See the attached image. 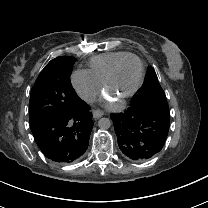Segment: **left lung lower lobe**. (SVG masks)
Here are the masks:
<instances>
[{
  "label": "left lung lower lobe",
  "instance_id": "obj_1",
  "mask_svg": "<svg viewBox=\"0 0 208 208\" xmlns=\"http://www.w3.org/2000/svg\"><path fill=\"white\" fill-rule=\"evenodd\" d=\"M119 148L133 161H146L163 147L170 123V116L162 112L128 107L121 113H112Z\"/></svg>",
  "mask_w": 208,
  "mask_h": 208
}]
</instances>
